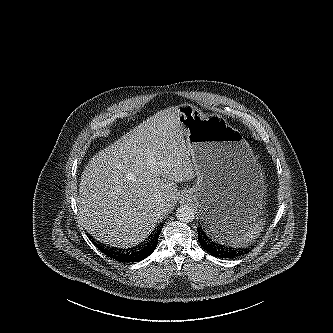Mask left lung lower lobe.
<instances>
[{"label": "left lung lower lobe", "mask_w": 333, "mask_h": 333, "mask_svg": "<svg viewBox=\"0 0 333 333\" xmlns=\"http://www.w3.org/2000/svg\"><path fill=\"white\" fill-rule=\"evenodd\" d=\"M218 231L217 228L211 226L198 228V240L202 248L211 255L219 258H230L240 254V251L237 252L234 249L232 250V248H227L217 240L216 236L220 234Z\"/></svg>", "instance_id": "0a47b994"}]
</instances>
